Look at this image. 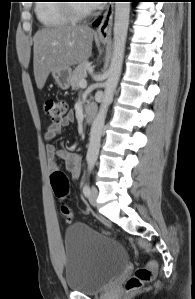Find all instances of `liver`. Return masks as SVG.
<instances>
[{"instance_id":"6515ba94","label":"liver","mask_w":195,"mask_h":299,"mask_svg":"<svg viewBox=\"0 0 195 299\" xmlns=\"http://www.w3.org/2000/svg\"><path fill=\"white\" fill-rule=\"evenodd\" d=\"M94 31L85 25H59L38 30L34 37V76L42 89L50 72L70 68L92 56Z\"/></svg>"}]
</instances>
